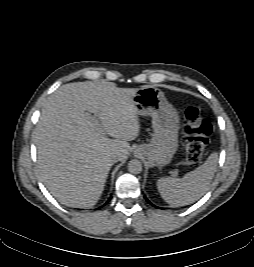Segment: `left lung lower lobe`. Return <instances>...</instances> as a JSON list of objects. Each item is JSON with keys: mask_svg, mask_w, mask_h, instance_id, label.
<instances>
[{"mask_svg": "<svg viewBox=\"0 0 254 267\" xmlns=\"http://www.w3.org/2000/svg\"><path fill=\"white\" fill-rule=\"evenodd\" d=\"M146 201H148V199L145 197ZM149 202V201H148ZM150 203V202H149Z\"/></svg>", "mask_w": 254, "mask_h": 267, "instance_id": "obj_1", "label": "left lung lower lobe"}]
</instances>
